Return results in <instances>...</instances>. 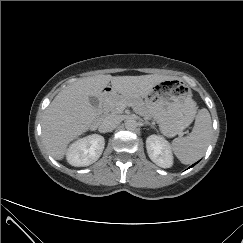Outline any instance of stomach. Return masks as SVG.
Returning <instances> with one entry per match:
<instances>
[{
    "instance_id": "0dacf381",
    "label": "stomach",
    "mask_w": 243,
    "mask_h": 243,
    "mask_svg": "<svg viewBox=\"0 0 243 243\" xmlns=\"http://www.w3.org/2000/svg\"><path fill=\"white\" fill-rule=\"evenodd\" d=\"M145 106L167 136L181 133L191 124L196 113L191 89L177 81L167 80L155 85L145 96Z\"/></svg>"
}]
</instances>
